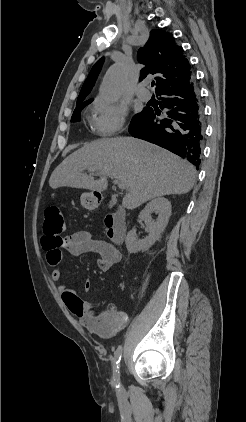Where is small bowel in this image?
Listing matches in <instances>:
<instances>
[{
	"label": "small bowel",
	"instance_id": "1",
	"mask_svg": "<svg viewBox=\"0 0 246 422\" xmlns=\"http://www.w3.org/2000/svg\"><path fill=\"white\" fill-rule=\"evenodd\" d=\"M42 247L46 251L47 263L54 267L51 278L57 282L62 278V270L58 267L62 260L63 251L73 256H81L93 252L98 254L96 265L101 271H108L120 260V252L112 243L95 238L89 231H76L66 237L49 235L42 237ZM85 291L90 289V282L86 281ZM62 300L79 321L92 333L110 337L123 329L127 324V315L108 306L104 311L98 310L91 303L81 300L73 289L66 285L59 286Z\"/></svg>",
	"mask_w": 246,
	"mask_h": 422
}]
</instances>
